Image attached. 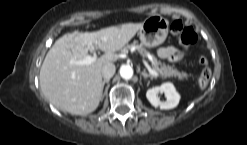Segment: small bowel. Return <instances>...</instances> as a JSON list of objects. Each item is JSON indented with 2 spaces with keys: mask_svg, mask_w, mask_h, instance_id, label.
I'll use <instances>...</instances> for the list:
<instances>
[{
  "mask_svg": "<svg viewBox=\"0 0 247 145\" xmlns=\"http://www.w3.org/2000/svg\"><path fill=\"white\" fill-rule=\"evenodd\" d=\"M184 52L176 47L168 46L158 50V55L170 61H178L183 57Z\"/></svg>",
  "mask_w": 247,
  "mask_h": 145,
  "instance_id": "small-bowel-1",
  "label": "small bowel"
}]
</instances>
